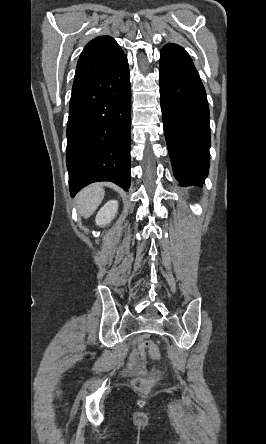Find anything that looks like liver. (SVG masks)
Wrapping results in <instances>:
<instances>
[{"instance_id": "obj_1", "label": "liver", "mask_w": 266, "mask_h": 444, "mask_svg": "<svg viewBox=\"0 0 266 444\" xmlns=\"http://www.w3.org/2000/svg\"><path fill=\"white\" fill-rule=\"evenodd\" d=\"M104 198V189L100 184H92L84 188L77 196L79 213L86 219L99 207Z\"/></svg>"}]
</instances>
